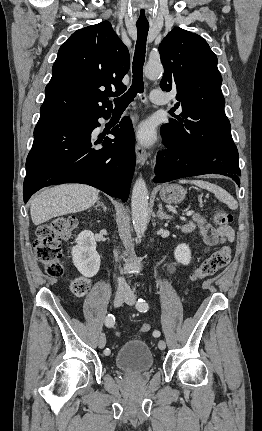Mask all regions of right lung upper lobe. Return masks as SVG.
<instances>
[{
  "instance_id": "cb5924a9",
  "label": "right lung upper lobe",
  "mask_w": 262,
  "mask_h": 431,
  "mask_svg": "<svg viewBox=\"0 0 262 431\" xmlns=\"http://www.w3.org/2000/svg\"><path fill=\"white\" fill-rule=\"evenodd\" d=\"M129 65V51L109 22L77 30L58 51L40 118L110 114L108 98L126 88Z\"/></svg>"
}]
</instances>
